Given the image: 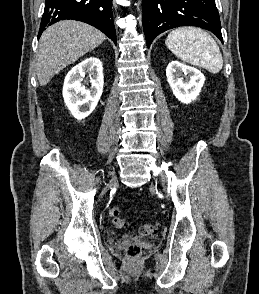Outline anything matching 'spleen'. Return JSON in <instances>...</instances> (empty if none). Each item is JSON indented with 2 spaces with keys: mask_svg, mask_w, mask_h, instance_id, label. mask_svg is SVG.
Segmentation results:
<instances>
[{
  "mask_svg": "<svg viewBox=\"0 0 259 294\" xmlns=\"http://www.w3.org/2000/svg\"><path fill=\"white\" fill-rule=\"evenodd\" d=\"M165 45L182 61L203 67L211 73H219L223 67L222 54L216 41L201 29H174L169 33Z\"/></svg>",
  "mask_w": 259,
  "mask_h": 294,
  "instance_id": "1",
  "label": "spleen"
}]
</instances>
